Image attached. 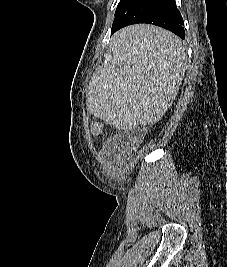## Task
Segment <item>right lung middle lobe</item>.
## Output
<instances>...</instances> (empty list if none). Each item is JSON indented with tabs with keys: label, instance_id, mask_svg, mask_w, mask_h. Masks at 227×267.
Listing matches in <instances>:
<instances>
[{
	"label": "right lung middle lobe",
	"instance_id": "right-lung-middle-lobe-1",
	"mask_svg": "<svg viewBox=\"0 0 227 267\" xmlns=\"http://www.w3.org/2000/svg\"><path fill=\"white\" fill-rule=\"evenodd\" d=\"M127 0H120L119 4H118V7L116 9V13H115V16L116 14L118 13V11L120 10V8L123 6V4L126 2Z\"/></svg>",
	"mask_w": 227,
	"mask_h": 267
}]
</instances>
